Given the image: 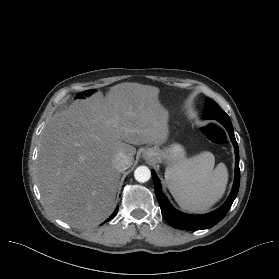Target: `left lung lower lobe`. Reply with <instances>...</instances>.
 Instances as JSON below:
<instances>
[{
	"instance_id": "1",
	"label": "left lung lower lobe",
	"mask_w": 279,
	"mask_h": 279,
	"mask_svg": "<svg viewBox=\"0 0 279 279\" xmlns=\"http://www.w3.org/2000/svg\"><path fill=\"white\" fill-rule=\"evenodd\" d=\"M221 124L228 131L230 139L234 145L236 167H235V180H234V185L231 194L228 197L227 201L219 209L211 213L205 215H199V216L187 215L175 210L167 200L164 193L162 192L161 184L157 175L155 174L154 171H152L155 192L161 208V213L164 219L174 228L182 229V230H202L216 225L227 214L228 210L230 209L233 201L237 196L239 184H240L239 149L235 139L234 130L231 121L230 122L222 121Z\"/></svg>"
}]
</instances>
